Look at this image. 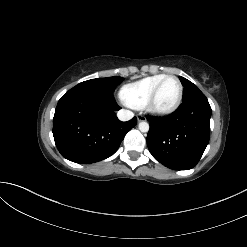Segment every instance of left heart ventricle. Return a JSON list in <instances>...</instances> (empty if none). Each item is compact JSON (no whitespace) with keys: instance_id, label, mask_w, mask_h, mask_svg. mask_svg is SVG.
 Segmentation results:
<instances>
[{"instance_id":"b2bd125f","label":"left heart ventricle","mask_w":247,"mask_h":247,"mask_svg":"<svg viewBox=\"0 0 247 247\" xmlns=\"http://www.w3.org/2000/svg\"><path fill=\"white\" fill-rule=\"evenodd\" d=\"M179 94V85L175 79L166 80L161 86L155 100L157 109H167L177 100Z\"/></svg>"}]
</instances>
